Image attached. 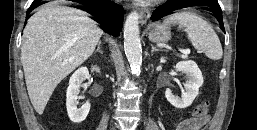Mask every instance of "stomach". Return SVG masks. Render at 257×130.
Masks as SVG:
<instances>
[{
    "mask_svg": "<svg viewBox=\"0 0 257 130\" xmlns=\"http://www.w3.org/2000/svg\"><path fill=\"white\" fill-rule=\"evenodd\" d=\"M149 40L154 43H165L171 38L170 27L166 24H155L149 32Z\"/></svg>",
    "mask_w": 257,
    "mask_h": 130,
    "instance_id": "obj_1",
    "label": "stomach"
}]
</instances>
